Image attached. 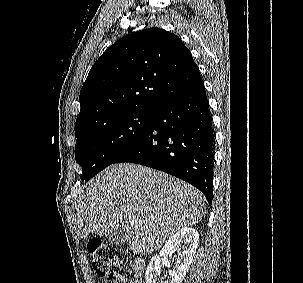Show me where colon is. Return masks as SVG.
<instances>
[{"label":"colon","instance_id":"5ec220e1","mask_svg":"<svg viewBox=\"0 0 303 283\" xmlns=\"http://www.w3.org/2000/svg\"><path fill=\"white\" fill-rule=\"evenodd\" d=\"M87 251L93 269L99 276L107 277L110 282L113 279L112 267L118 263L124 266L125 262L120 258L116 248L99 239H91L87 244Z\"/></svg>","mask_w":303,"mask_h":283}]
</instances>
